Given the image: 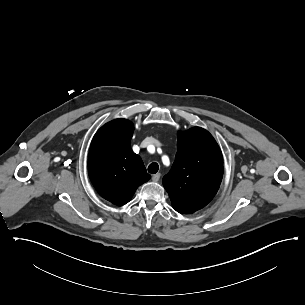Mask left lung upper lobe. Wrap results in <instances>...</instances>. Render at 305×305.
Returning <instances> with one entry per match:
<instances>
[{
	"label": "left lung upper lobe",
	"mask_w": 305,
	"mask_h": 305,
	"mask_svg": "<svg viewBox=\"0 0 305 305\" xmlns=\"http://www.w3.org/2000/svg\"><path fill=\"white\" fill-rule=\"evenodd\" d=\"M178 151L171 170L163 178L173 208L193 213L205 207L217 193L223 176V157L212 135L194 127L178 132Z\"/></svg>",
	"instance_id": "1"
}]
</instances>
